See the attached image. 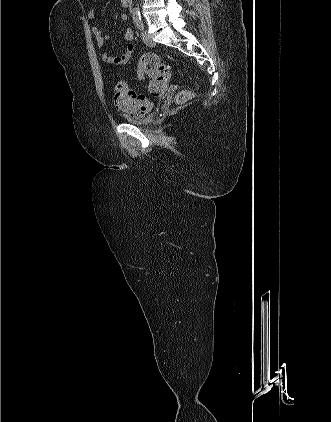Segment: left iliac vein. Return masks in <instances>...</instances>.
I'll use <instances>...</instances> for the list:
<instances>
[{
	"mask_svg": "<svg viewBox=\"0 0 331 422\" xmlns=\"http://www.w3.org/2000/svg\"><path fill=\"white\" fill-rule=\"evenodd\" d=\"M141 36H142V40L144 41V43L149 46V47H154L155 43L153 41V39L150 37L149 33L147 32V30L143 29L141 32Z\"/></svg>",
	"mask_w": 331,
	"mask_h": 422,
	"instance_id": "obj_1",
	"label": "left iliac vein"
}]
</instances>
